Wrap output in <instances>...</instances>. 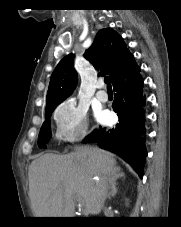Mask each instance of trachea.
Here are the masks:
<instances>
[{
	"instance_id": "trachea-1",
	"label": "trachea",
	"mask_w": 181,
	"mask_h": 227,
	"mask_svg": "<svg viewBox=\"0 0 181 227\" xmlns=\"http://www.w3.org/2000/svg\"><path fill=\"white\" fill-rule=\"evenodd\" d=\"M104 82H105L106 84H109V77H108V76H106V77L104 78Z\"/></svg>"
}]
</instances>
